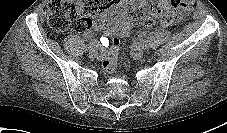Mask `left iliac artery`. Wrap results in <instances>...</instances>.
Masks as SVG:
<instances>
[{
  "label": "left iliac artery",
  "mask_w": 227,
  "mask_h": 133,
  "mask_svg": "<svg viewBox=\"0 0 227 133\" xmlns=\"http://www.w3.org/2000/svg\"><path fill=\"white\" fill-rule=\"evenodd\" d=\"M137 44L143 49H148V44L146 42L139 41Z\"/></svg>",
  "instance_id": "44dca946"
}]
</instances>
